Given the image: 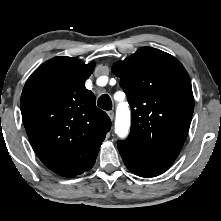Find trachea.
<instances>
[{"instance_id":"1","label":"trachea","mask_w":221,"mask_h":221,"mask_svg":"<svg viewBox=\"0 0 221 221\" xmlns=\"http://www.w3.org/2000/svg\"><path fill=\"white\" fill-rule=\"evenodd\" d=\"M97 105L103 110H111L112 109V101L109 95L103 94L99 97Z\"/></svg>"}]
</instances>
